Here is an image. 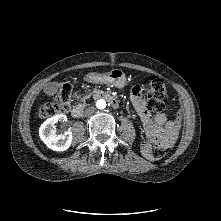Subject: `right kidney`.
I'll return each instance as SVG.
<instances>
[{
	"label": "right kidney",
	"instance_id": "obj_1",
	"mask_svg": "<svg viewBox=\"0 0 221 221\" xmlns=\"http://www.w3.org/2000/svg\"><path fill=\"white\" fill-rule=\"evenodd\" d=\"M64 114L55 115L47 119L39 128V136L46 146L54 151H65L72 143V132L70 130L58 134L55 124L66 122Z\"/></svg>",
	"mask_w": 221,
	"mask_h": 221
}]
</instances>
